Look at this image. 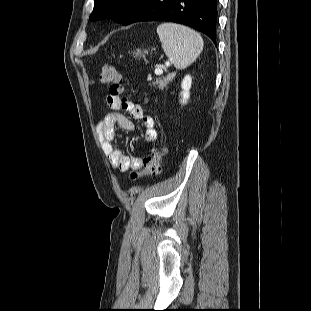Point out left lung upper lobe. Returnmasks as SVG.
Here are the masks:
<instances>
[{"label":"left lung upper lobe","mask_w":311,"mask_h":311,"mask_svg":"<svg viewBox=\"0 0 311 311\" xmlns=\"http://www.w3.org/2000/svg\"><path fill=\"white\" fill-rule=\"evenodd\" d=\"M138 2V0H95L90 20L113 18L120 23L125 14Z\"/></svg>","instance_id":"5c2ea615"}]
</instances>
